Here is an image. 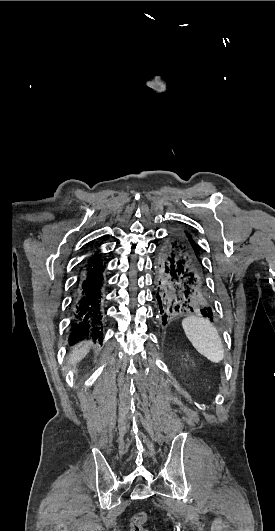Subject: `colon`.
Returning <instances> with one entry per match:
<instances>
[{
    "label": "colon",
    "mask_w": 275,
    "mask_h": 531,
    "mask_svg": "<svg viewBox=\"0 0 275 531\" xmlns=\"http://www.w3.org/2000/svg\"><path fill=\"white\" fill-rule=\"evenodd\" d=\"M148 520L146 512H140L134 515L130 522V531H146L144 523Z\"/></svg>",
    "instance_id": "colon-1"
}]
</instances>
